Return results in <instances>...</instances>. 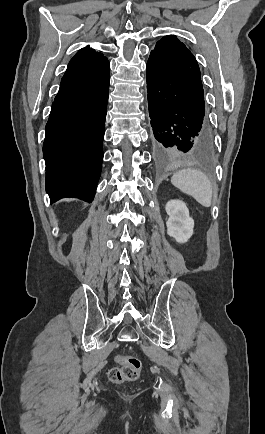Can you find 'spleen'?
Returning a JSON list of instances; mask_svg holds the SVG:
<instances>
[{"instance_id": "spleen-1", "label": "spleen", "mask_w": 265, "mask_h": 434, "mask_svg": "<svg viewBox=\"0 0 265 434\" xmlns=\"http://www.w3.org/2000/svg\"><path fill=\"white\" fill-rule=\"evenodd\" d=\"M171 182L184 194L193 196L201 206H205V208L211 206L213 196L211 182L200 170H192V168L179 170L172 176Z\"/></svg>"}]
</instances>
